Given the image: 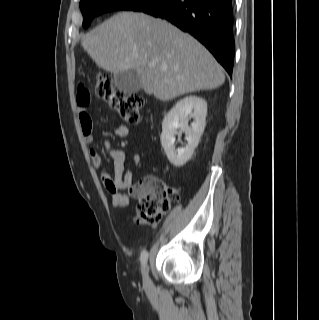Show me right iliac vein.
<instances>
[{"label": "right iliac vein", "mask_w": 319, "mask_h": 320, "mask_svg": "<svg viewBox=\"0 0 319 320\" xmlns=\"http://www.w3.org/2000/svg\"><path fill=\"white\" fill-rule=\"evenodd\" d=\"M142 273H143V283H144V286L146 288H151L152 286V282L149 278V275H148V268L147 266H145L142 270Z\"/></svg>", "instance_id": "1"}]
</instances>
